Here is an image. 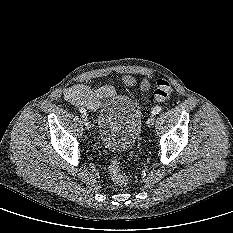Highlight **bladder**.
I'll use <instances>...</instances> for the list:
<instances>
[{"label":"bladder","instance_id":"obj_1","mask_svg":"<svg viewBox=\"0 0 233 233\" xmlns=\"http://www.w3.org/2000/svg\"><path fill=\"white\" fill-rule=\"evenodd\" d=\"M142 120V110L136 100L127 95L112 96L98 110L99 138L111 151H126L136 142Z\"/></svg>","mask_w":233,"mask_h":233}]
</instances>
